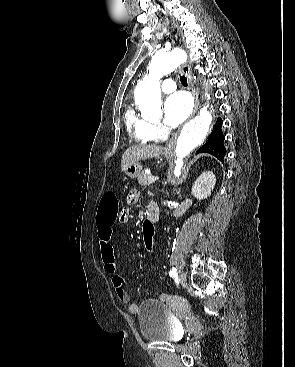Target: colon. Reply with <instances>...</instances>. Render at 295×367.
I'll list each match as a JSON object with an SVG mask.
<instances>
[{
  "instance_id": "5ec220e1",
  "label": "colon",
  "mask_w": 295,
  "mask_h": 367,
  "mask_svg": "<svg viewBox=\"0 0 295 367\" xmlns=\"http://www.w3.org/2000/svg\"><path fill=\"white\" fill-rule=\"evenodd\" d=\"M120 209L116 195L111 192L105 193L100 202L98 221L110 223L118 220ZM140 227L142 230L141 237L144 240L143 244L148 251H151L156 244V229L152 219H143Z\"/></svg>"
}]
</instances>
